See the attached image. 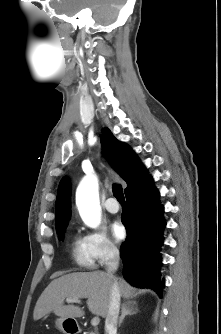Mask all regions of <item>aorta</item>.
I'll use <instances>...</instances> for the list:
<instances>
[{"label": "aorta", "mask_w": 221, "mask_h": 334, "mask_svg": "<svg viewBox=\"0 0 221 334\" xmlns=\"http://www.w3.org/2000/svg\"><path fill=\"white\" fill-rule=\"evenodd\" d=\"M76 205L83 222L90 228H97L101 222V207L95 176H85L80 182L76 190Z\"/></svg>", "instance_id": "762f6f07"}]
</instances>
